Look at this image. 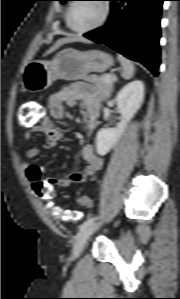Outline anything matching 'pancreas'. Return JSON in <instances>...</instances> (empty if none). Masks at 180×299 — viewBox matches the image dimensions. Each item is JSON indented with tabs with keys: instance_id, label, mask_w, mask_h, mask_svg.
<instances>
[{
	"instance_id": "cf45deb5",
	"label": "pancreas",
	"mask_w": 180,
	"mask_h": 299,
	"mask_svg": "<svg viewBox=\"0 0 180 299\" xmlns=\"http://www.w3.org/2000/svg\"><path fill=\"white\" fill-rule=\"evenodd\" d=\"M108 74H104L100 77L91 76L87 77L86 80L93 85H91L92 89L97 92L99 98L101 100H106L112 91L113 84L112 82H107L106 77Z\"/></svg>"
}]
</instances>
